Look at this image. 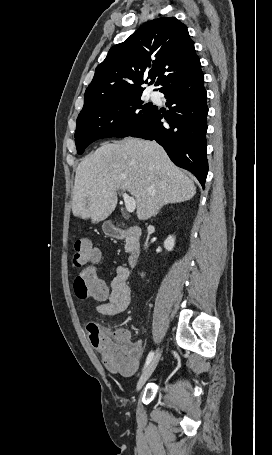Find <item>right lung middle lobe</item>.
Listing matches in <instances>:
<instances>
[{
	"instance_id": "dd1d6c3e",
	"label": "right lung middle lobe",
	"mask_w": 272,
	"mask_h": 455,
	"mask_svg": "<svg viewBox=\"0 0 272 455\" xmlns=\"http://www.w3.org/2000/svg\"><path fill=\"white\" fill-rule=\"evenodd\" d=\"M141 95H133L80 113L77 118L75 143L79 154L93 141L108 137L129 136L156 110L143 104Z\"/></svg>"
}]
</instances>
